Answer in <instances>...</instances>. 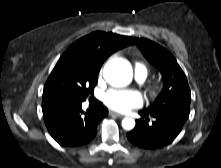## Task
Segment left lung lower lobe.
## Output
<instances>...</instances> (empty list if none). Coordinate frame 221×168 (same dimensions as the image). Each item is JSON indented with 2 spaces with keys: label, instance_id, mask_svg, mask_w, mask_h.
Returning a JSON list of instances; mask_svg holds the SVG:
<instances>
[{
  "label": "left lung lower lobe",
  "instance_id": "obj_1",
  "mask_svg": "<svg viewBox=\"0 0 221 168\" xmlns=\"http://www.w3.org/2000/svg\"><path fill=\"white\" fill-rule=\"evenodd\" d=\"M141 119L135 128L127 133L128 140L144 149H157L170 144L180 133L188 116L178 113L150 114L139 111ZM154 121L149 124L148 117Z\"/></svg>",
  "mask_w": 221,
  "mask_h": 168
}]
</instances>
